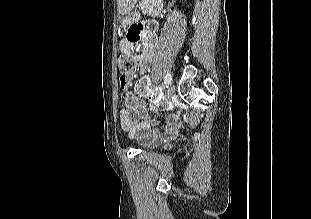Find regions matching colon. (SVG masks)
<instances>
[{
    "instance_id": "5ec220e1",
    "label": "colon",
    "mask_w": 311,
    "mask_h": 219,
    "mask_svg": "<svg viewBox=\"0 0 311 219\" xmlns=\"http://www.w3.org/2000/svg\"><path fill=\"white\" fill-rule=\"evenodd\" d=\"M140 31L139 26L131 27L127 33V39L129 41H136L138 39V33ZM118 71L120 73L119 83L122 88L127 85V74L132 72L134 67V61L130 56L121 55L117 60ZM138 92L141 95H146L148 92V86L145 82H139L137 87Z\"/></svg>"
}]
</instances>
